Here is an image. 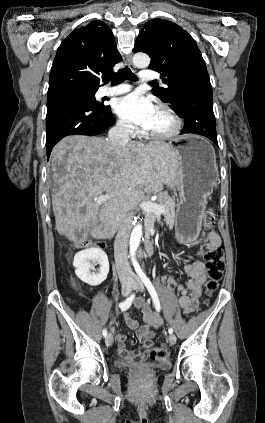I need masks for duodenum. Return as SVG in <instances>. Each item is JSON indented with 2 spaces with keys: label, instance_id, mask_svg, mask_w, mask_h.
<instances>
[{
  "label": "duodenum",
  "instance_id": "410a0bca",
  "mask_svg": "<svg viewBox=\"0 0 265 423\" xmlns=\"http://www.w3.org/2000/svg\"><path fill=\"white\" fill-rule=\"evenodd\" d=\"M155 251L154 243L152 240H147L145 242V256H151Z\"/></svg>",
  "mask_w": 265,
  "mask_h": 423
}]
</instances>
